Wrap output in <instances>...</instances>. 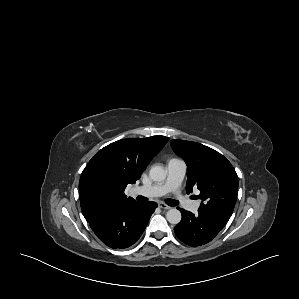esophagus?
Masks as SVG:
<instances>
[{"label": "esophagus", "instance_id": "esophagus-1", "mask_svg": "<svg viewBox=\"0 0 299 299\" xmlns=\"http://www.w3.org/2000/svg\"><path fill=\"white\" fill-rule=\"evenodd\" d=\"M158 206L161 208V209H164V210H169L171 209L170 206L166 205L165 203H159Z\"/></svg>", "mask_w": 299, "mask_h": 299}]
</instances>
